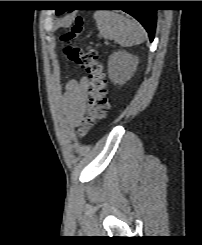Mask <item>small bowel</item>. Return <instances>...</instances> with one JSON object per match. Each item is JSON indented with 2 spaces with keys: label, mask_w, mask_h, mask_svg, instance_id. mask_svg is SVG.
<instances>
[{
  "label": "small bowel",
  "mask_w": 202,
  "mask_h": 245,
  "mask_svg": "<svg viewBox=\"0 0 202 245\" xmlns=\"http://www.w3.org/2000/svg\"><path fill=\"white\" fill-rule=\"evenodd\" d=\"M88 82L87 79L84 77L80 81L70 80L66 84V91H65V99L66 102L71 107H78L80 108L83 104L86 91H87ZM78 122H75L74 125H77Z\"/></svg>",
  "instance_id": "1"
}]
</instances>
